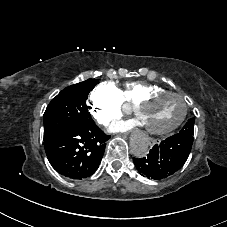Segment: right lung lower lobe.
Masks as SVG:
<instances>
[{
    "label": "right lung lower lobe",
    "mask_w": 227,
    "mask_h": 227,
    "mask_svg": "<svg viewBox=\"0 0 227 227\" xmlns=\"http://www.w3.org/2000/svg\"><path fill=\"white\" fill-rule=\"evenodd\" d=\"M109 138L92 123L62 129L44 139V146L57 172L71 179H82L91 176L99 167Z\"/></svg>",
    "instance_id": "1"
}]
</instances>
